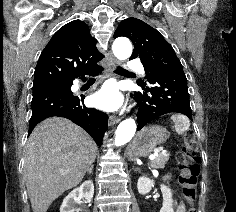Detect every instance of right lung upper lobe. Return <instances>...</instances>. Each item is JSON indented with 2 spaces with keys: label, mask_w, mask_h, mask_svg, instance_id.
<instances>
[{
  "label": "right lung upper lobe",
  "mask_w": 236,
  "mask_h": 212,
  "mask_svg": "<svg viewBox=\"0 0 236 212\" xmlns=\"http://www.w3.org/2000/svg\"><path fill=\"white\" fill-rule=\"evenodd\" d=\"M104 55L96 48L87 24L74 20L61 27L42 51L33 84H65L90 71Z\"/></svg>",
  "instance_id": "cb5924a9"
}]
</instances>
